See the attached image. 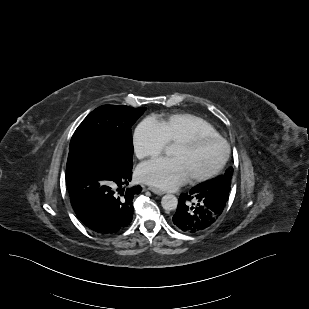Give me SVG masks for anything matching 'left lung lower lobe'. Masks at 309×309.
<instances>
[{
    "mask_svg": "<svg viewBox=\"0 0 309 309\" xmlns=\"http://www.w3.org/2000/svg\"><path fill=\"white\" fill-rule=\"evenodd\" d=\"M229 194L205 190L200 185L181 194L172 221L174 226L188 234L200 233L211 227L221 216Z\"/></svg>",
    "mask_w": 309,
    "mask_h": 309,
    "instance_id": "1",
    "label": "left lung lower lobe"
}]
</instances>
